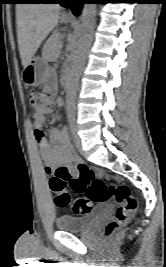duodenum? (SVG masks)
<instances>
[{
	"label": "duodenum",
	"instance_id": "410a0bca",
	"mask_svg": "<svg viewBox=\"0 0 166 267\" xmlns=\"http://www.w3.org/2000/svg\"><path fill=\"white\" fill-rule=\"evenodd\" d=\"M69 83H70V75L68 73H66L64 76V84H65V86H68Z\"/></svg>",
	"mask_w": 166,
	"mask_h": 267
}]
</instances>
